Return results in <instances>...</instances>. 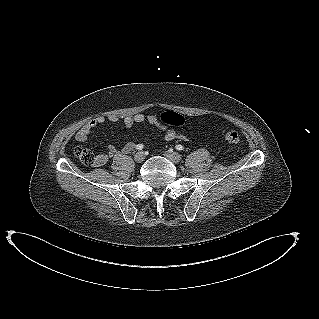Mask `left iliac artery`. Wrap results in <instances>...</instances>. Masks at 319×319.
Masks as SVG:
<instances>
[{"label": "left iliac artery", "mask_w": 319, "mask_h": 319, "mask_svg": "<svg viewBox=\"0 0 319 319\" xmlns=\"http://www.w3.org/2000/svg\"><path fill=\"white\" fill-rule=\"evenodd\" d=\"M175 148H176L177 150H183V149H184V147H183L182 145H176Z\"/></svg>", "instance_id": "44dca946"}]
</instances>
